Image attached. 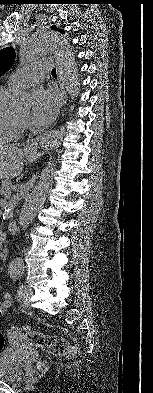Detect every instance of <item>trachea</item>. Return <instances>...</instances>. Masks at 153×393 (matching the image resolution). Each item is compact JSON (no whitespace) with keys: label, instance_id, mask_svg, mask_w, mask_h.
I'll return each instance as SVG.
<instances>
[{"label":"trachea","instance_id":"obj_1","mask_svg":"<svg viewBox=\"0 0 153 393\" xmlns=\"http://www.w3.org/2000/svg\"><path fill=\"white\" fill-rule=\"evenodd\" d=\"M51 73L53 76H56V68H54Z\"/></svg>","mask_w":153,"mask_h":393}]
</instances>
